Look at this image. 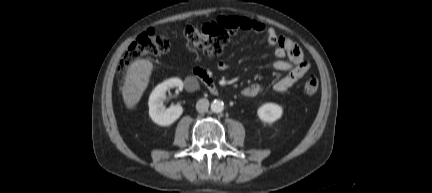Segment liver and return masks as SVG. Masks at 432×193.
<instances>
[{
    "label": "liver",
    "mask_w": 432,
    "mask_h": 193,
    "mask_svg": "<svg viewBox=\"0 0 432 193\" xmlns=\"http://www.w3.org/2000/svg\"><path fill=\"white\" fill-rule=\"evenodd\" d=\"M152 63L146 59L135 61L128 70L122 87V96L128 109L133 108L143 95L149 83Z\"/></svg>",
    "instance_id": "1"
}]
</instances>
